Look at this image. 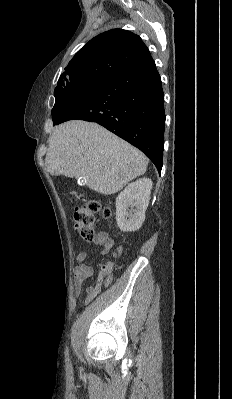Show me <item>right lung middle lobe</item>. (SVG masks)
<instances>
[{
	"instance_id": "1",
	"label": "right lung middle lobe",
	"mask_w": 232,
	"mask_h": 399,
	"mask_svg": "<svg viewBox=\"0 0 232 399\" xmlns=\"http://www.w3.org/2000/svg\"><path fill=\"white\" fill-rule=\"evenodd\" d=\"M105 80L104 78L96 77L79 78L65 85L59 93L54 94L55 105L52 109L53 123L66 103L81 99L104 83Z\"/></svg>"
}]
</instances>
